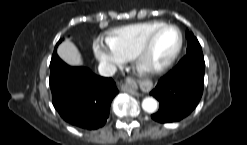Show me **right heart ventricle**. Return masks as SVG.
I'll return each instance as SVG.
<instances>
[{"instance_id": "obj_1", "label": "right heart ventricle", "mask_w": 247, "mask_h": 145, "mask_svg": "<svg viewBox=\"0 0 247 145\" xmlns=\"http://www.w3.org/2000/svg\"><path fill=\"white\" fill-rule=\"evenodd\" d=\"M162 24L161 21H147L121 26L111 30L106 41L124 59H131L147 36Z\"/></svg>"}]
</instances>
